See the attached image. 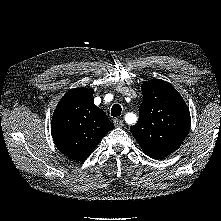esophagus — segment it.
<instances>
[{
	"label": "esophagus",
	"mask_w": 221,
	"mask_h": 221,
	"mask_svg": "<svg viewBox=\"0 0 221 221\" xmlns=\"http://www.w3.org/2000/svg\"><path fill=\"white\" fill-rule=\"evenodd\" d=\"M113 122L116 127H122L124 125V121L122 119L116 118Z\"/></svg>",
	"instance_id": "obj_1"
}]
</instances>
